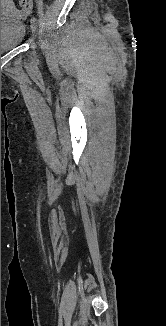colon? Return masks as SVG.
<instances>
[{
    "label": "colon",
    "instance_id": "colon-1",
    "mask_svg": "<svg viewBox=\"0 0 166 326\" xmlns=\"http://www.w3.org/2000/svg\"><path fill=\"white\" fill-rule=\"evenodd\" d=\"M19 7L23 12H27L30 8V4L27 2V0H20Z\"/></svg>",
    "mask_w": 166,
    "mask_h": 326
}]
</instances>
